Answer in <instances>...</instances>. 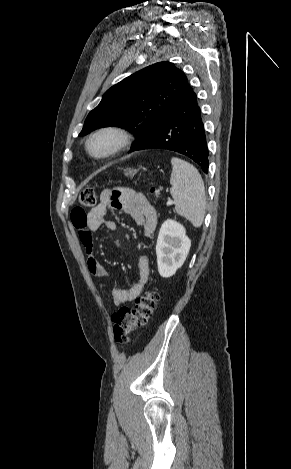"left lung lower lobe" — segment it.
<instances>
[{"mask_svg": "<svg viewBox=\"0 0 291 469\" xmlns=\"http://www.w3.org/2000/svg\"><path fill=\"white\" fill-rule=\"evenodd\" d=\"M168 149L192 159L208 173V147L197 97L191 87L176 102L158 126L137 147Z\"/></svg>", "mask_w": 291, "mask_h": 469, "instance_id": "1", "label": "left lung lower lobe"}]
</instances>
